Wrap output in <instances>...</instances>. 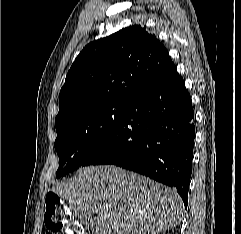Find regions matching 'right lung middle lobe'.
<instances>
[{"label":"right lung middle lobe","mask_w":241,"mask_h":234,"mask_svg":"<svg viewBox=\"0 0 241 234\" xmlns=\"http://www.w3.org/2000/svg\"><path fill=\"white\" fill-rule=\"evenodd\" d=\"M129 104L110 103L83 110L56 129L55 150L59 156L56 178L81 167L122 122Z\"/></svg>","instance_id":"dd1d6c3e"}]
</instances>
